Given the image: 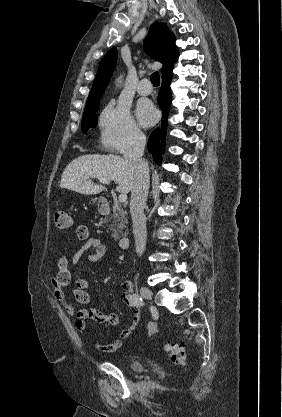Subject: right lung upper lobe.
<instances>
[{
	"label": "right lung upper lobe",
	"mask_w": 282,
	"mask_h": 417,
	"mask_svg": "<svg viewBox=\"0 0 282 417\" xmlns=\"http://www.w3.org/2000/svg\"><path fill=\"white\" fill-rule=\"evenodd\" d=\"M144 44L148 54L153 59L163 64L161 70L162 75L173 69L174 63L178 59L179 52L175 45V37L166 24L161 22L153 23ZM116 60L117 50L116 47H113L102 58L99 64V69L89 93V97L104 93L115 69Z\"/></svg>",
	"instance_id": "obj_1"
}]
</instances>
